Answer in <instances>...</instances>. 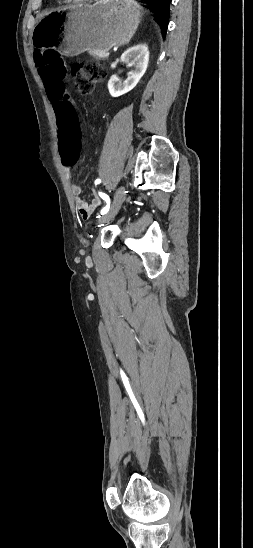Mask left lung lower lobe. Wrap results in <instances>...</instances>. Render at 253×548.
Listing matches in <instances>:
<instances>
[{
  "instance_id": "left-lung-lower-lobe-1",
  "label": "left lung lower lobe",
  "mask_w": 253,
  "mask_h": 548,
  "mask_svg": "<svg viewBox=\"0 0 253 548\" xmlns=\"http://www.w3.org/2000/svg\"><path fill=\"white\" fill-rule=\"evenodd\" d=\"M149 2L157 15V23L160 25L162 35L165 37L169 21L171 0H142Z\"/></svg>"
}]
</instances>
